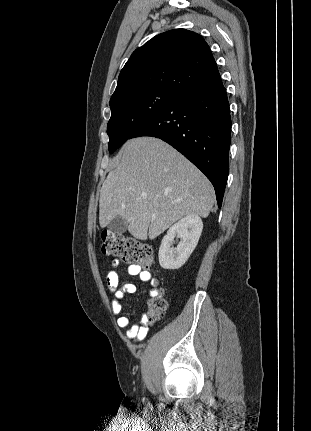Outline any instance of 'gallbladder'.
<instances>
[{
	"label": "gallbladder",
	"mask_w": 311,
	"mask_h": 431,
	"mask_svg": "<svg viewBox=\"0 0 311 431\" xmlns=\"http://www.w3.org/2000/svg\"><path fill=\"white\" fill-rule=\"evenodd\" d=\"M108 229H111V231H114V233H124L126 231L128 225L125 221V219H122L120 216L114 217V219H111L110 223L107 225Z\"/></svg>",
	"instance_id": "gallbladder-1"
}]
</instances>
